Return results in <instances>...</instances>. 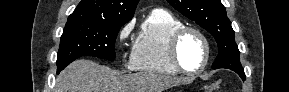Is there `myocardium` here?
I'll use <instances>...</instances> for the list:
<instances>
[{
	"label": "myocardium",
	"instance_id": "myocardium-1",
	"mask_svg": "<svg viewBox=\"0 0 289 92\" xmlns=\"http://www.w3.org/2000/svg\"><path fill=\"white\" fill-rule=\"evenodd\" d=\"M188 33H193L195 35H197L201 41L204 44V49H205V55H204V60L202 65L196 69V70H187L186 68H184V66L182 65L180 58H179V46L181 43V40L183 39V37L185 35H187ZM169 57L170 60L173 64V66L181 73L183 74H187V75H198L200 73H202L205 68L208 65L209 59H210V43L208 38L205 36V34L195 28V27H191V26H182L179 29H177L171 36L170 41H169Z\"/></svg>",
	"mask_w": 289,
	"mask_h": 92
}]
</instances>
